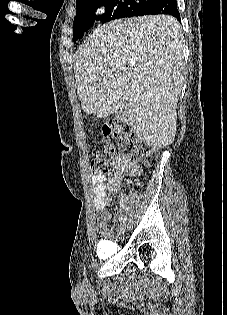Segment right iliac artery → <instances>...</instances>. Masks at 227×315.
<instances>
[{
  "label": "right iliac artery",
  "instance_id": "82829eb1",
  "mask_svg": "<svg viewBox=\"0 0 227 315\" xmlns=\"http://www.w3.org/2000/svg\"><path fill=\"white\" fill-rule=\"evenodd\" d=\"M119 221H120V222L126 221V216L120 217V218H119Z\"/></svg>",
  "mask_w": 227,
  "mask_h": 315
}]
</instances>
